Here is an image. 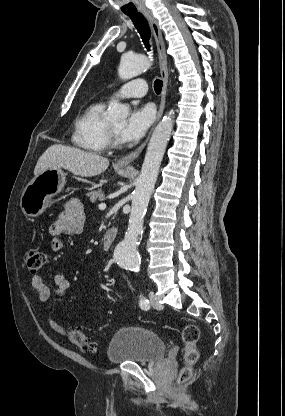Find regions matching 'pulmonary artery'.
<instances>
[{
  "label": "pulmonary artery",
  "instance_id": "pulmonary-artery-1",
  "mask_svg": "<svg viewBox=\"0 0 285 416\" xmlns=\"http://www.w3.org/2000/svg\"><path fill=\"white\" fill-rule=\"evenodd\" d=\"M148 94V89L146 88V81L143 78L133 79L123 85L119 91V96L124 97H142Z\"/></svg>",
  "mask_w": 285,
  "mask_h": 416
}]
</instances>
